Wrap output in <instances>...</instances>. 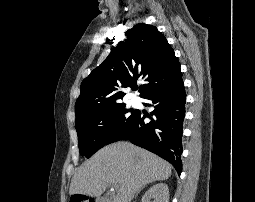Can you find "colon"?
I'll return each mask as SVG.
<instances>
[{"mask_svg": "<svg viewBox=\"0 0 255 202\" xmlns=\"http://www.w3.org/2000/svg\"><path fill=\"white\" fill-rule=\"evenodd\" d=\"M70 202H88L86 198H76L72 199Z\"/></svg>", "mask_w": 255, "mask_h": 202, "instance_id": "5ec220e1", "label": "colon"}]
</instances>
